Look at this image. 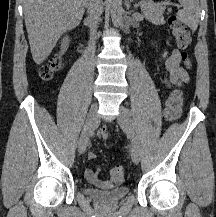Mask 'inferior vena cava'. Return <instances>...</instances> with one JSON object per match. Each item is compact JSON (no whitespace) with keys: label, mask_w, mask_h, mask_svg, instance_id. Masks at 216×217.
Here are the masks:
<instances>
[{"label":"inferior vena cava","mask_w":216,"mask_h":217,"mask_svg":"<svg viewBox=\"0 0 216 217\" xmlns=\"http://www.w3.org/2000/svg\"><path fill=\"white\" fill-rule=\"evenodd\" d=\"M85 5L88 13L90 34L91 36H95L98 20L103 11V3L102 0H86Z\"/></svg>","instance_id":"1"}]
</instances>
